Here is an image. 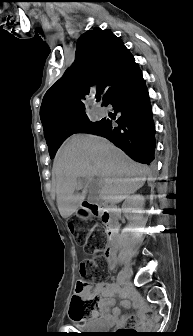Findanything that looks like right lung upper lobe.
I'll return each mask as SVG.
<instances>
[{"mask_svg":"<svg viewBox=\"0 0 193 336\" xmlns=\"http://www.w3.org/2000/svg\"><path fill=\"white\" fill-rule=\"evenodd\" d=\"M70 69L45 93L40 108L46 141L86 116L83 100L94 90L103 103L122 74L134 63L123 42L109 30L94 28L77 41Z\"/></svg>","mask_w":193,"mask_h":336,"instance_id":"right-lung-upper-lobe-1","label":"right lung upper lobe"}]
</instances>
